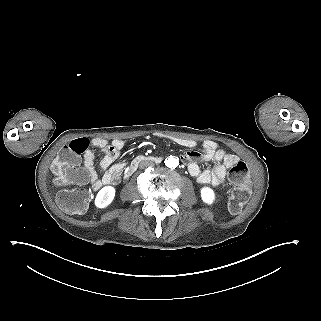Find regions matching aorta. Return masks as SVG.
<instances>
[{
  "instance_id": "762f6f07",
  "label": "aorta",
  "mask_w": 321,
  "mask_h": 321,
  "mask_svg": "<svg viewBox=\"0 0 321 321\" xmlns=\"http://www.w3.org/2000/svg\"><path fill=\"white\" fill-rule=\"evenodd\" d=\"M165 164L167 167L174 169L179 165V161L177 158L171 156L165 160Z\"/></svg>"
}]
</instances>
